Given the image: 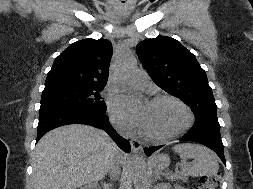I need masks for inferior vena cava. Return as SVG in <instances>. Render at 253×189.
Here are the masks:
<instances>
[{
  "mask_svg": "<svg viewBox=\"0 0 253 189\" xmlns=\"http://www.w3.org/2000/svg\"><path fill=\"white\" fill-rule=\"evenodd\" d=\"M122 133V131L120 130ZM126 151L123 149H116L114 151V164L110 168V175L112 178H117L120 175L121 166L126 164Z\"/></svg>",
  "mask_w": 253,
  "mask_h": 189,
  "instance_id": "602c4592",
  "label": "inferior vena cava"
}]
</instances>
